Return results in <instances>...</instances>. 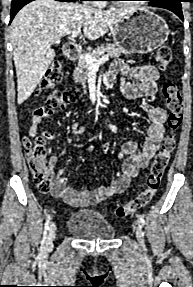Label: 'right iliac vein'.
<instances>
[{
    "instance_id": "63e3f726",
    "label": "right iliac vein",
    "mask_w": 193,
    "mask_h": 287,
    "mask_svg": "<svg viewBox=\"0 0 193 287\" xmlns=\"http://www.w3.org/2000/svg\"><path fill=\"white\" fill-rule=\"evenodd\" d=\"M55 236H56V225L55 223H52L49 229V234H48L46 243H45L47 249L52 246Z\"/></svg>"
}]
</instances>
